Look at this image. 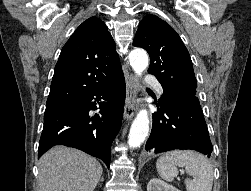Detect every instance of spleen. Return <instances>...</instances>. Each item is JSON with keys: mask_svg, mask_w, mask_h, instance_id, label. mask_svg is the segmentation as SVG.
I'll return each mask as SVG.
<instances>
[{"mask_svg": "<svg viewBox=\"0 0 251 191\" xmlns=\"http://www.w3.org/2000/svg\"><path fill=\"white\" fill-rule=\"evenodd\" d=\"M176 165L185 167L186 173L194 177L185 179L187 191H211L213 167L205 155L192 149H174L162 153L156 163L159 175L166 181H173L178 175Z\"/></svg>", "mask_w": 251, "mask_h": 191, "instance_id": "obj_1", "label": "spleen"}]
</instances>
